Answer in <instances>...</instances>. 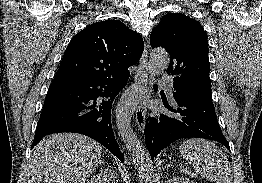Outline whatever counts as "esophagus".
<instances>
[{
	"instance_id": "obj_1",
	"label": "esophagus",
	"mask_w": 262,
	"mask_h": 183,
	"mask_svg": "<svg viewBox=\"0 0 262 183\" xmlns=\"http://www.w3.org/2000/svg\"><path fill=\"white\" fill-rule=\"evenodd\" d=\"M149 66H148V52L147 47L145 46L144 52L142 54V57L139 61L138 70L134 75V81L139 82L143 78L147 77L149 75ZM151 94V87H147L144 91L143 97L137 107L136 110V123L138 125V128L142 131L145 127V119H146V104L147 101L150 98Z\"/></svg>"
}]
</instances>
